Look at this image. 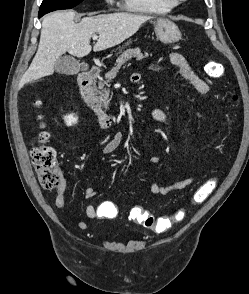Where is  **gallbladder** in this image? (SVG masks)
<instances>
[{
  "label": "gallbladder",
  "instance_id": "obj_1",
  "mask_svg": "<svg viewBox=\"0 0 249 294\" xmlns=\"http://www.w3.org/2000/svg\"><path fill=\"white\" fill-rule=\"evenodd\" d=\"M81 70V64L71 56H61L55 64V71L63 75H74Z\"/></svg>",
  "mask_w": 249,
  "mask_h": 294
}]
</instances>
